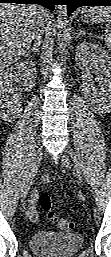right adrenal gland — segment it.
I'll return each mask as SVG.
<instances>
[{
	"label": "right adrenal gland",
	"mask_w": 111,
	"mask_h": 257,
	"mask_svg": "<svg viewBox=\"0 0 111 257\" xmlns=\"http://www.w3.org/2000/svg\"><path fill=\"white\" fill-rule=\"evenodd\" d=\"M39 46H40V45H39L38 43H35V44H34V47L31 48L30 50H28V51L26 52L25 56L27 57V56L30 55L32 52H35V53L39 52Z\"/></svg>",
	"instance_id": "1"
}]
</instances>
